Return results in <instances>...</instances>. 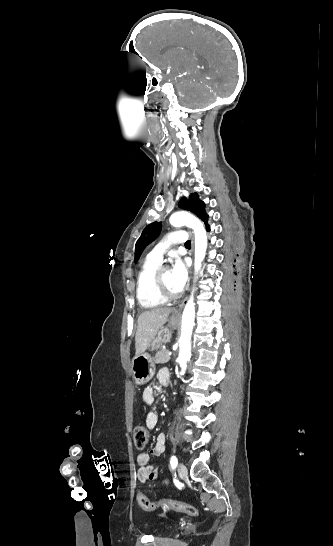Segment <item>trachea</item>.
Segmentation results:
<instances>
[{"label": "trachea", "instance_id": "1", "mask_svg": "<svg viewBox=\"0 0 333 546\" xmlns=\"http://www.w3.org/2000/svg\"><path fill=\"white\" fill-rule=\"evenodd\" d=\"M185 246H186V247H190V246H191V241L188 240V241L185 243Z\"/></svg>", "mask_w": 333, "mask_h": 546}]
</instances>
